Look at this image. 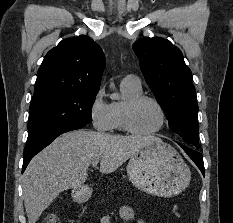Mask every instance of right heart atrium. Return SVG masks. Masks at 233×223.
I'll list each match as a JSON object with an SVG mask.
<instances>
[{"instance_id": "d8ad5b80", "label": "right heart atrium", "mask_w": 233, "mask_h": 223, "mask_svg": "<svg viewBox=\"0 0 233 223\" xmlns=\"http://www.w3.org/2000/svg\"><path fill=\"white\" fill-rule=\"evenodd\" d=\"M104 96V89H100L89 107L91 122L93 126L100 131L112 129L111 104L105 100Z\"/></svg>"}]
</instances>
